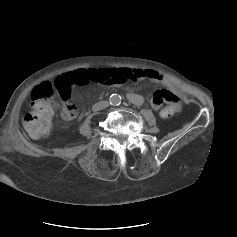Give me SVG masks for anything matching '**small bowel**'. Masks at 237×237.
Returning <instances> with one entry per match:
<instances>
[{
	"label": "small bowel",
	"instance_id": "c3829d8e",
	"mask_svg": "<svg viewBox=\"0 0 237 237\" xmlns=\"http://www.w3.org/2000/svg\"><path fill=\"white\" fill-rule=\"evenodd\" d=\"M121 77L127 80H142V79H149L155 83H159L163 85L165 88L160 89L154 92L152 99H151V105L155 110H159L164 103L168 104L169 106H173L176 108V111L180 108V102H179V96L177 94L176 87L174 84L163 75L159 74L156 71L153 70H142V69H117L116 70ZM124 81V82H125ZM123 82H117V81H107L102 84L106 86H117L122 84ZM130 101H132L135 104H139L142 101V97L139 94L136 93H129L128 95ZM76 115V112L74 115H69L64 106L62 109V117L65 120H72Z\"/></svg>",
	"mask_w": 237,
	"mask_h": 237
}]
</instances>
